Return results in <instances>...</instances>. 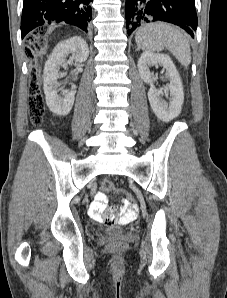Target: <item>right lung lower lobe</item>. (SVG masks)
<instances>
[{
    "instance_id": "98d812e1",
    "label": "right lung lower lobe",
    "mask_w": 227,
    "mask_h": 298,
    "mask_svg": "<svg viewBox=\"0 0 227 298\" xmlns=\"http://www.w3.org/2000/svg\"><path fill=\"white\" fill-rule=\"evenodd\" d=\"M93 0H24L21 18L22 38L41 26L68 23L87 32Z\"/></svg>"
}]
</instances>
